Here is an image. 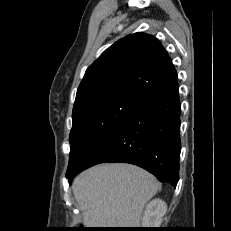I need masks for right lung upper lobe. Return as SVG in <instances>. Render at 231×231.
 <instances>
[{"label":"right lung upper lobe","mask_w":231,"mask_h":231,"mask_svg":"<svg viewBox=\"0 0 231 231\" xmlns=\"http://www.w3.org/2000/svg\"><path fill=\"white\" fill-rule=\"evenodd\" d=\"M177 87V72L165 48L154 36L138 32L114 43L88 67L73 111L109 95L145 99Z\"/></svg>","instance_id":"right-lung-upper-lobe-1"}]
</instances>
